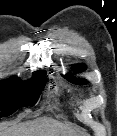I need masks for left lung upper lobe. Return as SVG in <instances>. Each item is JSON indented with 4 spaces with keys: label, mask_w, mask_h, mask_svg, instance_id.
I'll use <instances>...</instances> for the list:
<instances>
[{
    "label": "left lung upper lobe",
    "mask_w": 117,
    "mask_h": 136,
    "mask_svg": "<svg viewBox=\"0 0 117 136\" xmlns=\"http://www.w3.org/2000/svg\"><path fill=\"white\" fill-rule=\"evenodd\" d=\"M86 67L83 65V64H78V65H75L74 66V69L76 70V71H83L84 69H85ZM65 78L66 79H68L69 81H72L73 79H72V76L70 75V74H67L66 76H65ZM77 83L79 84V85H82V84H87L88 83V81H86V80H84V79H80V80H78L77 81Z\"/></svg>",
    "instance_id": "5c2ea615"
}]
</instances>
